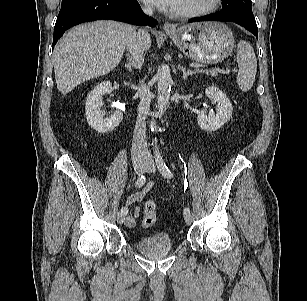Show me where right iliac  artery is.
I'll return each instance as SVG.
<instances>
[{
	"label": "right iliac artery",
	"instance_id": "1",
	"mask_svg": "<svg viewBox=\"0 0 307 301\" xmlns=\"http://www.w3.org/2000/svg\"><path fill=\"white\" fill-rule=\"evenodd\" d=\"M145 181H146L145 175L142 174L136 180L135 186L141 187V186H143L145 184ZM121 212L126 215L128 213V209L126 207H122L121 208Z\"/></svg>",
	"mask_w": 307,
	"mask_h": 301
}]
</instances>
